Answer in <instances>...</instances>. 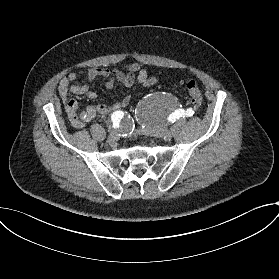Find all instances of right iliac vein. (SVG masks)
Segmentation results:
<instances>
[{
    "instance_id": "obj_1",
    "label": "right iliac vein",
    "mask_w": 279,
    "mask_h": 279,
    "mask_svg": "<svg viewBox=\"0 0 279 279\" xmlns=\"http://www.w3.org/2000/svg\"><path fill=\"white\" fill-rule=\"evenodd\" d=\"M109 136H110L112 139H116V137H117L116 131L113 130V129L109 130Z\"/></svg>"
}]
</instances>
